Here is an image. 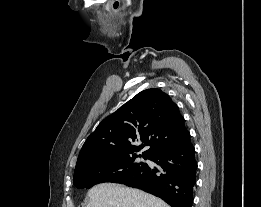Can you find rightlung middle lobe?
I'll return each mask as SVG.
<instances>
[{
    "mask_svg": "<svg viewBox=\"0 0 261 207\" xmlns=\"http://www.w3.org/2000/svg\"><path fill=\"white\" fill-rule=\"evenodd\" d=\"M149 159L144 155H122L102 159L75 169L73 184L77 188H91L103 182L118 183L121 180L143 170L147 164L137 162V157Z\"/></svg>",
    "mask_w": 261,
    "mask_h": 207,
    "instance_id": "1",
    "label": "right lung middle lobe"
}]
</instances>
